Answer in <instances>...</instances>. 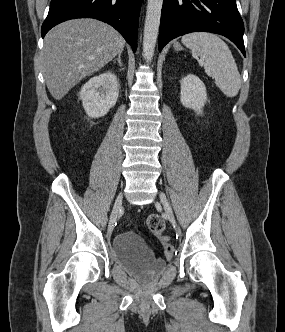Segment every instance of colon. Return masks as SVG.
<instances>
[{
    "mask_svg": "<svg viewBox=\"0 0 285 332\" xmlns=\"http://www.w3.org/2000/svg\"><path fill=\"white\" fill-rule=\"evenodd\" d=\"M147 228L155 235H161L165 229L164 221L158 215H150L147 218ZM163 249L166 259H171L174 254L173 246L166 238H163Z\"/></svg>",
    "mask_w": 285,
    "mask_h": 332,
    "instance_id": "colon-1",
    "label": "colon"
}]
</instances>
